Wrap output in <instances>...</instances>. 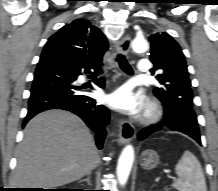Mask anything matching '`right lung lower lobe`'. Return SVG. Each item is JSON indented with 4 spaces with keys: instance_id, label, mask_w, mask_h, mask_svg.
I'll list each match as a JSON object with an SVG mask.
<instances>
[{
    "instance_id": "obj_1",
    "label": "right lung lower lobe",
    "mask_w": 218,
    "mask_h": 191,
    "mask_svg": "<svg viewBox=\"0 0 218 191\" xmlns=\"http://www.w3.org/2000/svg\"><path fill=\"white\" fill-rule=\"evenodd\" d=\"M101 66L102 61H78L54 53L41 55L23 126L40 112L50 109L67 110L78 115L96 131V143L101 149L106 135L104 126L109 122V111L74 85L79 75L86 73L96 76ZM92 69L95 70L94 73L91 72ZM95 83L101 88L105 85L103 78L95 80Z\"/></svg>"
}]
</instances>
